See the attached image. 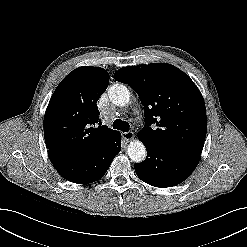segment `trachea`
<instances>
[{
	"label": "trachea",
	"instance_id": "3493384b",
	"mask_svg": "<svg viewBox=\"0 0 247 247\" xmlns=\"http://www.w3.org/2000/svg\"><path fill=\"white\" fill-rule=\"evenodd\" d=\"M129 123L126 122V121H123L121 119H116L114 122H113V128L114 129H118V130H121L123 132H128L129 130Z\"/></svg>",
	"mask_w": 247,
	"mask_h": 247
}]
</instances>
